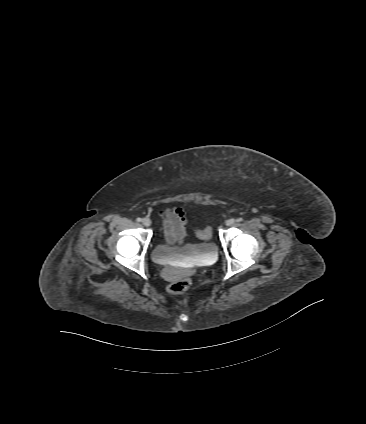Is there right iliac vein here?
<instances>
[{"label": "right iliac vein", "instance_id": "obj_1", "mask_svg": "<svg viewBox=\"0 0 366 424\" xmlns=\"http://www.w3.org/2000/svg\"><path fill=\"white\" fill-rule=\"evenodd\" d=\"M142 223H143V225H144V226H146V227H148V226H150V225H151V221H150V219H149V218H144V219L142 220Z\"/></svg>", "mask_w": 366, "mask_h": 424}]
</instances>
